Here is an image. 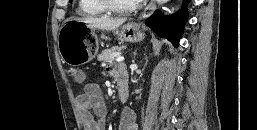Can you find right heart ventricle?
<instances>
[{
  "instance_id": "obj_1",
  "label": "right heart ventricle",
  "mask_w": 257,
  "mask_h": 130,
  "mask_svg": "<svg viewBox=\"0 0 257 130\" xmlns=\"http://www.w3.org/2000/svg\"><path fill=\"white\" fill-rule=\"evenodd\" d=\"M77 13L83 16H98L105 13V10L96 0H79Z\"/></svg>"
}]
</instances>
